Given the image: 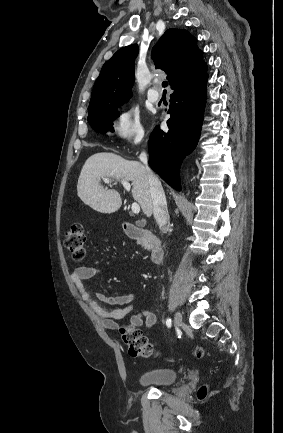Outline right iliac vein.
<instances>
[{"instance_id":"1","label":"right iliac vein","mask_w":283,"mask_h":433,"mask_svg":"<svg viewBox=\"0 0 283 433\" xmlns=\"http://www.w3.org/2000/svg\"><path fill=\"white\" fill-rule=\"evenodd\" d=\"M174 322H175L176 327H180V326H182V324H184V320H183L180 312H176L175 317H174Z\"/></svg>"}]
</instances>
